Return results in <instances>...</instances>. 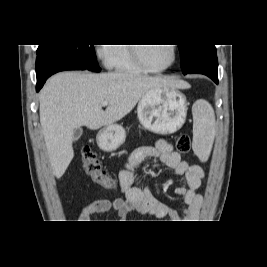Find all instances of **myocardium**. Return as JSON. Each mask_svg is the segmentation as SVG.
<instances>
[{"label": "myocardium", "instance_id": "obj_1", "mask_svg": "<svg viewBox=\"0 0 267 267\" xmlns=\"http://www.w3.org/2000/svg\"><path fill=\"white\" fill-rule=\"evenodd\" d=\"M138 45L139 44H132V46H130L132 58L138 66H140L142 69H144L147 72H151V73L164 72V71L168 70L169 68H171L177 60V48H176L177 46H175L174 44H170L171 49H172V59H171L170 63H168L166 66L160 67V68L150 67L143 60L141 50H140L141 46H138Z\"/></svg>", "mask_w": 267, "mask_h": 267}]
</instances>
